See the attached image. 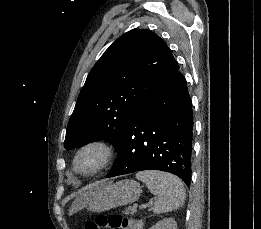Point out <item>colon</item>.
I'll return each instance as SVG.
<instances>
[{
	"instance_id": "1",
	"label": "colon",
	"mask_w": 261,
	"mask_h": 229,
	"mask_svg": "<svg viewBox=\"0 0 261 229\" xmlns=\"http://www.w3.org/2000/svg\"><path fill=\"white\" fill-rule=\"evenodd\" d=\"M84 229H139L137 221L119 213H100Z\"/></svg>"
}]
</instances>
